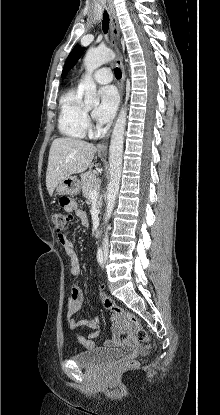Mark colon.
Returning a JSON list of instances; mask_svg holds the SVG:
<instances>
[{
    "instance_id": "5ec220e1",
    "label": "colon",
    "mask_w": 220,
    "mask_h": 415,
    "mask_svg": "<svg viewBox=\"0 0 220 415\" xmlns=\"http://www.w3.org/2000/svg\"><path fill=\"white\" fill-rule=\"evenodd\" d=\"M69 214L66 211H53L51 213V222L59 233L65 228L69 221ZM100 300L103 304V307L110 311L114 317L117 319H123L130 323L135 331L137 339L140 342L147 343L149 341V336L144 329L143 325L141 324L140 320L129 310L121 307L120 305L116 304L110 297L101 293ZM136 365L135 361H127L123 363L124 367H134Z\"/></svg>"
}]
</instances>
